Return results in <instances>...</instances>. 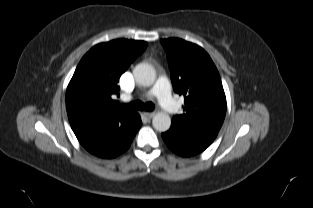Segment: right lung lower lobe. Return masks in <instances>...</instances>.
Masks as SVG:
<instances>
[{
	"label": "right lung lower lobe",
	"instance_id": "1",
	"mask_svg": "<svg viewBox=\"0 0 313 208\" xmlns=\"http://www.w3.org/2000/svg\"><path fill=\"white\" fill-rule=\"evenodd\" d=\"M136 113L130 121L107 119L93 124L71 125L81 145L91 154L101 158H114L125 152L141 127Z\"/></svg>",
	"mask_w": 313,
	"mask_h": 208
}]
</instances>
